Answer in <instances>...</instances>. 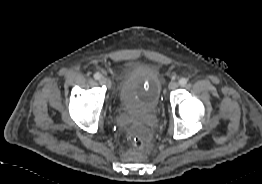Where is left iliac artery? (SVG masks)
Returning <instances> with one entry per match:
<instances>
[{"mask_svg": "<svg viewBox=\"0 0 262 184\" xmlns=\"http://www.w3.org/2000/svg\"><path fill=\"white\" fill-rule=\"evenodd\" d=\"M187 82H188V80H187L186 78H181V79L179 80V84H180L181 86H185V85L187 84Z\"/></svg>", "mask_w": 262, "mask_h": 184, "instance_id": "obj_1", "label": "left iliac artery"}]
</instances>
